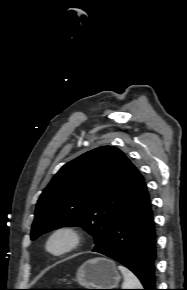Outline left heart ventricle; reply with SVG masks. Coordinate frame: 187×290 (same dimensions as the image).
<instances>
[{"label":"left heart ventricle","instance_id":"1","mask_svg":"<svg viewBox=\"0 0 187 290\" xmlns=\"http://www.w3.org/2000/svg\"><path fill=\"white\" fill-rule=\"evenodd\" d=\"M61 245H62V241H61V240H57V241L53 244L54 248H59Z\"/></svg>","mask_w":187,"mask_h":290}]
</instances>
